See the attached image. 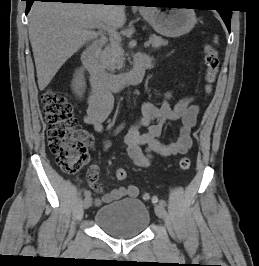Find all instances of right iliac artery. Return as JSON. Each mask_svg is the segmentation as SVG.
Instances as JSON below:
<instances>
[{"mask_svg": "<svg viewBox=\"0 0 259 266\" xmlns=\"http://www.w3.org/2000/svg\"><path fill=\"white\" fill-rule=\"evenodd\" d=\"M123 128V125L119 126L118 129H117V133ZM84 195L85 197H90L91 196V192L89 190H85L84 191Z\"/></svg>", "mask_w": 259, "mask_h": 266, "instance_id": "obj_1", "label": "right iliac artery"}]
</instances>
